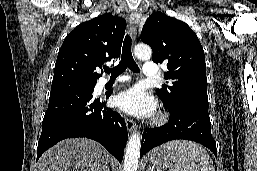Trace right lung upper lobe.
Instances as JSON below:
<instances>
[{"instance_id": "right-lung-upper-lobe-1", "label": "right lung upper lobe", "mask_w": 257, "mask_h": 171, "mask_svg": "<svg viewBox=\"0 0 257 171\" xmlns=\"http://www.w3.org/2000/svg\"><path fill=\"white\" fill-rule=\"evenodd\" d=\"M125 29V19L109 13L78 25L59 50L52 86L96 83V68L120 55Z\"/></svg>"}]
</instances>
